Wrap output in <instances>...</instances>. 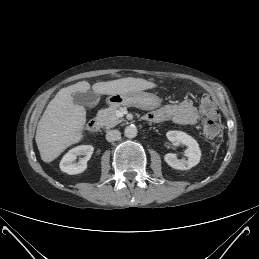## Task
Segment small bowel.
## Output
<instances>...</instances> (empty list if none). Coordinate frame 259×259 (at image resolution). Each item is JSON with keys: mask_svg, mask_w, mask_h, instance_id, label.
Here are the masks:
<instances>
[{"mask_svg": "<svg viewBox=\"0 0 259 259\" xmlns=\"http://www.w3.org/2000/svg\"><path fill=\"white\" fill-rule=\"evenodd\" d=\"M201 116H207L202 101L201 108L198 109L191 100L185 99L179 103L168 104L149 112L144 116V119L154 123L173 121L180 125H195Z\"/></svg>", "mask_w": 259, "mask_h": 259, "instance_id": "c3829d8e", "label": "small bowel"}]
</instances>
